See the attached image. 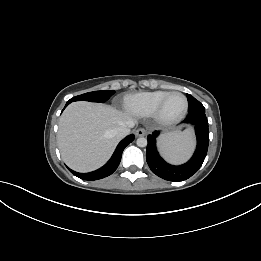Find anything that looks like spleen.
I'll return each mask as SVG.
<instances>
[{
	"label": "spleen",
	"instance_id": "spleen-1",
	"mask_svg": "<svg viewBox=\"0 0 261 261\" xmlns=\"http://www.w3.org/2000/svg\"><path fill=\"white\" fill-rule=\"evenodd\" d=\"M163 155L172 163L185 160L193 148L191 129L183 132H174L164 136L160 141Z\"/></svg>",
	"mask_w": 261,
	"mask_h": 261
}]
</instances>
